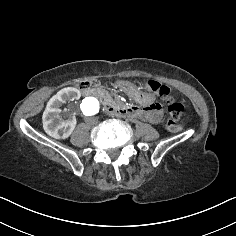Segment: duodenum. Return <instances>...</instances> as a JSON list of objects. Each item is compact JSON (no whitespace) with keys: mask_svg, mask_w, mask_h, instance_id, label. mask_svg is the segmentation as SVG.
<instances>
[{"mask_svg":"<svg viewBox=\"0 0 236 236\" xmlns=\"http://www.w3.org/2000/svg\"><path fill=\"white\" fill-rule=\"evenodd\" d=\"M83 96L93 95V90L90 87L80 89ZM107 113L120 117H137L140 115L138 107L133 105H112L106 104L104 106Z\"/></svg>","mask_w":236,"mask_h":236,"instance_id":"obj_1","label":"duodenum"}]
</instances>
